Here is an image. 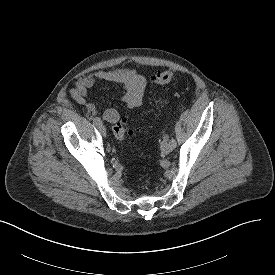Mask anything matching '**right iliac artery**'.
Instances as JSON below:
<instances>
[{"label": "right iliac artery", "instance_id": "82829eb1", "mask_svg": "<svg viewBox=\"0 0 275 275\" xmlns=\"http://www.w3.org/2000/svg\"><path fill=\"white\" fill-rule=\"evenodd\" d=\"M93 123H94L95 126H98L99 124H101V119L96 117V118L93 119Z\"/></svg>", "mask_w": 275, "mask_h": 275}]
</instances>
